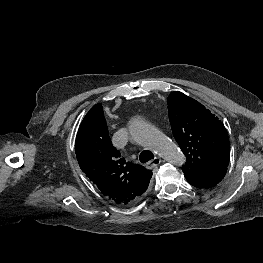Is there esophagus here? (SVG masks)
Returning <instances> with one entry per match:
<instances>
[{
  "mask_svg": "<svg viewBox=\"0 0 263 263\" xmlns=\"http://www.w3.org/2000/svg\"><path fill=\"white\" fill-rule=\"evenodd\" d=\"M161 163V159L159 157H155L153 160L149 161L147 164H146V167L148 169H153L155 168L156 166H158L159 164Z\"/></svg>",
  "mask_w": 263,
  "mask_h": 263,
  "instance_id": "esophagus-1",
  "label": "esophagus"
}]
</instances>
